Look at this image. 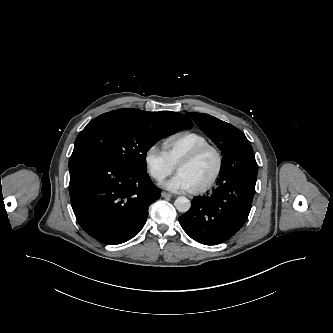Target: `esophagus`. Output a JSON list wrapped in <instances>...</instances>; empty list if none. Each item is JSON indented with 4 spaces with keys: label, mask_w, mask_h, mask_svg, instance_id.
<instances>
[{
    "label": "esophagus",
    "mask_w": 333,
    "mask_h": 333,
    "mask_svg": "<svg viewBox=\"0 0 333 333\" xmlns=\"http://www.w3.org/2000/svg\"><path fill=\"white\" fill-rule=\"evenodd\" d=\"M161 196H162L163 198H171V197H172V194L167 193V192H162V193H161Z\"/></svg>",
    "instance_id": "34e87169"
}]
</instances>
